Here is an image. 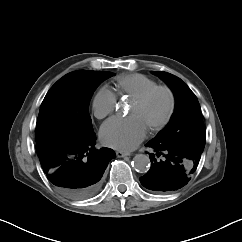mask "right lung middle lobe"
<instances>
[{
	"instance_id": "right-lung-middle-lobe-1",
	"label": "right lung middle lobe",
	"mask_w": 242,
	"mask_h": 242,
	"mask_svg": "<svg viewBox=\"0 0 242 242\" xmlns=\"http://www.w3.org/2000/svg\"><path fill=\"white\" fill-rule=\"evenodd\" d=\"M111 72L84 70L59 79L46 94L36 124V142L55 134L83 137L93 132L88 106L97 86Z\"/></svg>"
}]
</instances>
